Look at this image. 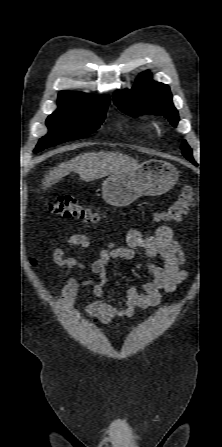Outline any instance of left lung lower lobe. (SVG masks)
I'll return each instance as SVG.
<instances>
[{"label":"left lung lower lobe","instance_id":"0a47b994","mask_svg":"<svg viewBox=\"0 0 222 447\" xmlns=\"http://www.w3.org/2000/svg\"><path fill=\"white\" fill-rule=\"evenodd\" d=\"M191 162H192L193 164L197 165V164H196V162H195L194 160H193V161H191Z\"/></svg>","mask_w":222,"mask_h":447}]
</instances>
